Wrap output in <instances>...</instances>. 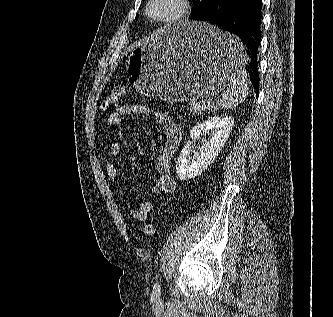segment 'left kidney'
<instances>
[{
	"instance_id": "left-kidney-1",
	"label": "left kidney",
	"mask_w": 333,
	"mask_h": 317,
	"mask_svg": "<svg viewBox=\"0 0 333 317\" xmlns=\"http://www.w3.org/2000/svg\"><path fill=\"white\" fill-rule=\"evenodd\" d=\"M234 125V119L229 116H216L209 118L194 126L190 131L192 141H188L182 149L176 164V174L181 180H188L200 175L216 158L222 146L228 139ZM207 134L201 151L192 160H188L193 141L200 135Z\"/></svg>"
}]
</instances>
